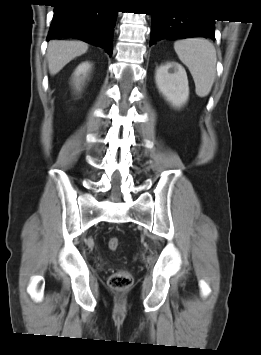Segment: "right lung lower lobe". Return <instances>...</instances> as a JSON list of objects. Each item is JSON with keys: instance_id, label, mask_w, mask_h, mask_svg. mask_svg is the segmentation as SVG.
I'll return each instance as SVG.
<instances>
[{"instance_id": "obj_1", "label": "right lung lower lobe", "mask_w": 261, "mask_h": 355, "mask_svg": "<svg viewBox=\"0 0 261 355\" xmlns=\"http://www.w3.org/2000/svg\"><path fill=\"white\" fill-rule=\"evenodd\" d=\"M47 41L77 38L96 44L111 56L117 12L103 0H57Z\"/></svg>"}]
</instances>
